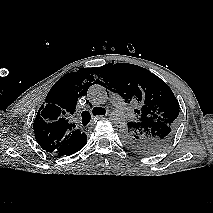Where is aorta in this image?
Here are the masks:
<instances>
[{
  "mask_svg": "<svg viewBox=\"0 0 213 213\" xmlns=\"http://www.w3.org/2000/svg\"><path fill=\"white\" fill-rule=\"evenodd\" d=\"M89 100L95 105H103L108 100L106 89L98 84L92 85L87 92ZM111 121L117 126L124 127L126 120L120 112H112L110 115Z\"/></svg>",
  "mask_w": 213,
  "mask_h": 213,
  "instance_id": "1",
  "label": "aorta"
}]
</instances>
